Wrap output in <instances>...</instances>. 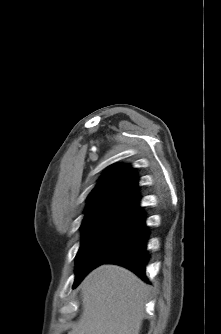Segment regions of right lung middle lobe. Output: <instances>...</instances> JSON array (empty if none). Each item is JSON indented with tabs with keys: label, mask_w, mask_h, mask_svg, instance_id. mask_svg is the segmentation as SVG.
I'll return each mask as SVG.
<instances>
[{
	"label": "right lung middle lobe",
	"mask_w": 221,
	"mask_h": 334,
	"mask_svg": "<svg viewBox=\"0 0 221 334\" xmlns=\"http://www.w3.org/2000/svg\"><path fill=\"white\" fill-rule=\"evenodd\" d=\"M144 217L96 216L83 221V239L76 255L73 288L95 267L106 263L143 227Z\"/></svg>",
	"instance_id": "1"
}]
</instances>
